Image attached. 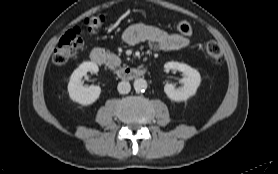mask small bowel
Returning a JSON list of instances; mask_svg holds the SVG:
<instances>
[{
    "label": "small bowel",
    "mask_w": 278,
    "mask_h": 174,
    "mask_svg": "<svg viewBox=\"0 0 278 174\" xmlns=\"http://www.w3.org/2000/svg\"><path fill=\"white\" fill-rule=\"evenodd\" d=\"M123 41L128 45L147 43L152 48L164 51H175L186 48L190 44L187 36L169 33L155 26L135 24L128 27L122 35Z\"/></svg>",
    "instance_id": "c3829d8e"
}]
</instances>
